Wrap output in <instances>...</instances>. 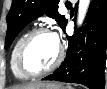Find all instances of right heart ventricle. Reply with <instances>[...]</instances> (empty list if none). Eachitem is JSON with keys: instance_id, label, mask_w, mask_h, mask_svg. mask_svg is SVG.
<instances>
[{"instance_id": "obj_1", "label": "right heart ventricle", "mask_w": 107, "mask_h": 89, "mask_svg": "<svg viewBox=\"0 0 107 89\" xmlns=\"http://www.w3.org/2000/svg\"><path fill=\"white\" fill-rule=\"evenodd\" d=\"M28 32L21 35L16 42L13 45L12 51H11V58H10V64L13 74L18 79H27L29 77L25 76L18 68L17 66V54L18 50L20 48L21 43L23 42L24 38L27 36Z\"/></svg>"}]
</instances>
